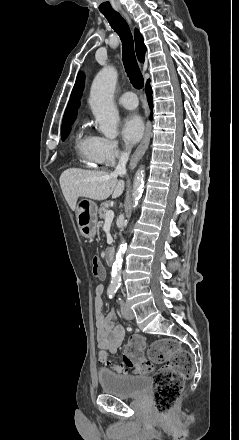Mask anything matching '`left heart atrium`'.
Instances as JSON below:
<instances>
[{
	"label": "left heart atrium",
	"instance_id": "left-heart-atrium-1",
	"mask_svg": "<svg viewBox=\"0 0 239 440\" xmlns=\"http://www.w3.org/2000/svg\"><path fill=\"white\" fill-rule=\"evenodd\" d=\"M119 129L127 143H135L142 136L144 127L139 115L129 113L120 120Z\"/></svg>",
	"mask_w": 239,
	"mask_h": 440
}]
</instances>
